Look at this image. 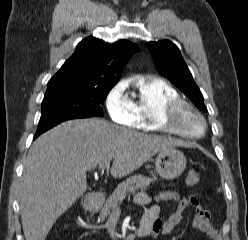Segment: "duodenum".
Here are the masks:
<instances>
[{
    "label": "duodenum",
    "mask_w": 248,
    "mask_h": 240,
    "mask_svg": "<svg viewBox=\"0 0 248 240\" xmlns=\"http://www.w3.org/2000/svg\"><path fill=\"white\" fill-rule=\"evenodd\" d=\"M102 203L101 194L98 192L91 193L86 200L85 207L89 212H95L99 209ZM150 232L148 225H141L139 229L140 236H147ZM126 240H132L131 237H127Z\"/></svg>",
    "instance_id": "410a0bca"
}]
</instances>
